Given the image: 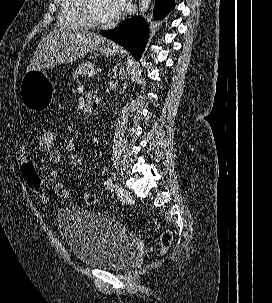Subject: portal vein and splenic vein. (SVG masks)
Masks as SVG:
<instances>
[{
    "instance_id": "obj_1",
    "label": "portal vein and splenic vein",
    "mask_w": 272,
    "mask_h": 303,
    "mask_svg": "<svg viewBox=\"0 0 272 303\" xmlns=\"http://www.w3.org/2000/svg\"><path fill=\"white\" fill-rule=\"evenodd\" d=\"M99 71H101V69H92V70L88 73V77H93V76L96 75Z\"/></svg>"
}]
</instances>
